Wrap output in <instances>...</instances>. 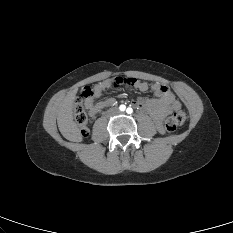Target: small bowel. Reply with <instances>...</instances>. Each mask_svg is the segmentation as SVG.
<instances>
[{
	"instance_id": "1",
	"label": "small bowel",
	"mask_w": 233,
	"mask_h": 233,
	"mask_svg": "<svg viewBox=\"0 0 233 233\" xmlns=\"http://www.w3.org/2000/svg\"><path fill=\"white\" fill-rule=\"evenodd\" d=\"M106 82L98 84L94 88L100 89L105 86ZM133 87L142 92L151 90L154 93L155 98H134L132 104L137 110L149 114L154 120L157 129L161 132L164 118L171 111L180 107L179 102L175 99L172 91L167 85L158 82L148 84L146 82L136 80ZM114 104L115 99L113 98H105L100 100L95 99L90 105L89 114L94 116L100 110L104 109L105 107H109V105L113 106Z\"/></svg>"
}]
</instances>
